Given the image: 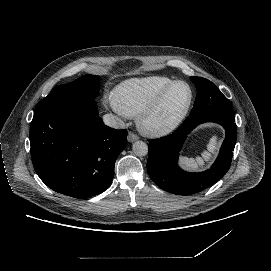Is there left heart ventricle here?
Segmentation results:
<instances>
[{
    "instance_id": "left-heart-ventricle-1",
    "label": "left heart ventricle",
    "mask_w": 271,
    "mask_h": 271,
    "mask_svg": "<svg viewBox=\"0 0 271 271\" xmlns=\"http://www.w3.org/2000/svg\"><path fill=\"white\" fill-rule=\"evenodd\" d=\"M191 90L185 83L177 84L170 92L165 104L154 117L157 124H166L176 118L190 100Z\"/></svg>"
}]
</instances>
